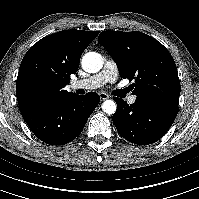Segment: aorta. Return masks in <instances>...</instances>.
I'll return each instance as SVG.
<instances>
[{
	"instance_id": "obj_1",
	"label": "aorta",
	"mask_w": 199,
	"mask_h": 199,
	"mask_svg": "<svg viewBox=\"0 0 199 199\" xmlns=\"http://www.w3.org/2000/svg\"><path fill=\"white\" fill-rule=\"evenodd\" d=\"M103 67L102 57L96 52H88L82 58V68L88 73H96ZM116 103L113 100H106L102 104V110L107 114H114Z\"/></svg>"
}]
</instances>
